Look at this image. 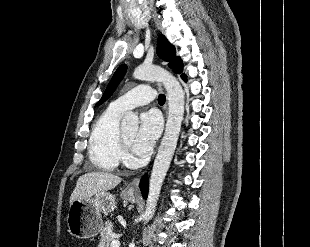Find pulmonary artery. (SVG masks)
Returning a JSON list of instances; mask_svg holds the SVG:
<instances>
[{"label": "pulmonary artery", "instance_id": "obj_1", "mask_svg": "<svg viewBox=\"0 0 310 247\" xmlns=\"http://www.w3.org/2000/svg\"><path fill=\"white\" fill-rule=\"evenodd\" d=\"M156 91L149 85H139L112 102V106L122 112L153 101Z\"/></svg>", "mask_w": 310, "mask_h": 247}]
</instances>
